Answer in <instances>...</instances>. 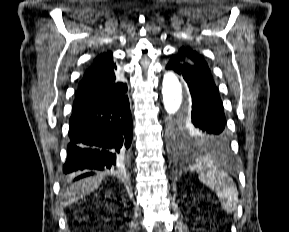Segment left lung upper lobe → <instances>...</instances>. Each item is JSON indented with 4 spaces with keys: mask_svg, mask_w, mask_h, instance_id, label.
Instances as JSON below:
<instances>
[{
    "mask_svg": "<svg viewBox=\"0 0 289 232\" xmlns=\"http://www.w3.org/2000/svg\"><path fill=\"white\" fill-rule=\"evenodd\" d=\"M177 57L184 59L194 65L201 66L207 70L209 67L205 60L197 52L190 48H180ZM172 144L177 151L182 152H206L213 151V147L209 140L200 135L198 131L192 127L189 119L175 120L171 128Z\"/></svg>",
    "mask_w": 289,
    "mask_h": 232,
    "instance_id": "1",
    "label": "left lung upper lobe"
}]
</instances>
